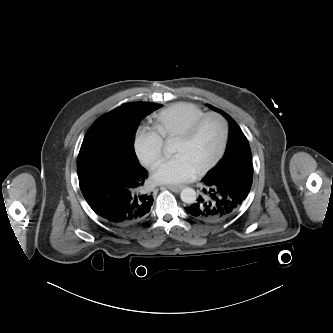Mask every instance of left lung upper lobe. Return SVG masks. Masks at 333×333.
<instances>
[{"instance_id": "5c2ea615", "label": "left lung upper lobe", "mask_w": 333, "mask_h": 333, "mask_svg": "<svg viewBox=\"0 0 333 333\" xmlns=\"http://www.w3.org/2000/svg\"><path fill=\"white\" fill-rule=\"evenodd\" d=\"M208 106L221 113L228 120L231 127V139L226 154L206 175L219 178L230 171H246L253 174L251 150L242 130L228 114L212 105Z\"/></svg>"}]
</instances>
